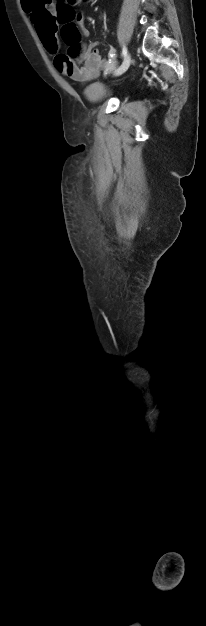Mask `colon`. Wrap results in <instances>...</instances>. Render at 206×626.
<instances>
[{
    "label": "colon",
    "mask_w": 206,
    "mask_h": 626,
    "mask_svg": "<svg viewBox=\"0 0 206 626\" xmlns=\"http://www.w3.org/2000/svg\"><path fill=\"white\" fill-rule=\"evenodd\" d=\"M90 0H56V6L59 14V21L63 23L62 37L68 46V55L66 58L79 59L82 54V45L80 43V33L71 22L73 12L72 6L88 3ZM31 7V6H28Z\"/></svg>",
    "instance_id": "1"
}]
</instances>
